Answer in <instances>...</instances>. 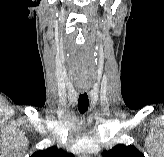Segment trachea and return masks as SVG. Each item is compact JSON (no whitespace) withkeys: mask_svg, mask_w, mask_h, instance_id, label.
Masks as SVG:
<instances>
[{"mask_svg":"<svg viewBox=\"0 0 164 157\" xmlns=\"http://www.w3.org/2000/svg\"><path fill=\"white\" fill-rule=\"evenodd\" d=\"M89 106V99L87 93H83L79 95L78 99V110L81 114H84Z\"/></svg>","mask_w":164,"mask_h":157,"instance_id":"obj_1","label":"trachea"}]
</instances>
